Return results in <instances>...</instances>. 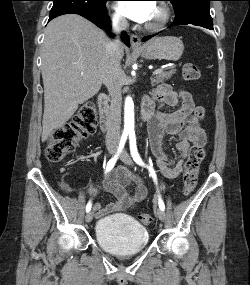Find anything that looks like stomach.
<instances>
[{
	"mask_svg": "<svg viewBox=\"0 0 250 285\" xmlns=\"http://www.w3.org/2000/svg\"><path fill=\"white\" fill-rule=\"evenodd\" d=\"M135 51L147 60L177 61L183 54L184 45L177 37L164 36L153 38Z\"/></svg>",
	"mask_w": 250,
	"mask_h": 285,
	"instance_id": "stomach-1",
	"label": "stomach"
}]
</instances>
